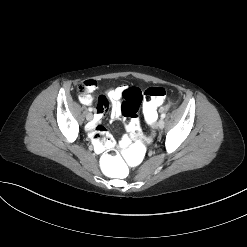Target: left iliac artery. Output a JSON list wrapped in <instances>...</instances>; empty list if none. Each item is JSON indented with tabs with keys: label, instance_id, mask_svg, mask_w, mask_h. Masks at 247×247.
<instances>
[{
	"label": "left iliac artery",
	"instance_id": "1",
	"mask_svg": "<svg viewBox=\"0 0 247 247\" xmlns=\"http://www.w3.org/2000/svg\"><path fill=\"white\" fill-rule=\"evenodd\" d=\"M165 117H166V114L165 113L161 114V118L162 119L165 118Z\"/></svg>",
	"mask_w": 247,
	"mask_h": 247
}]
</instances>
